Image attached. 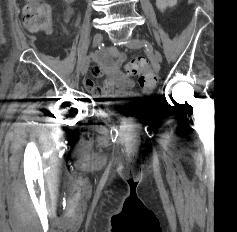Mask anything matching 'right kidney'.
I'll return each mask as SVG.
<instances>
[{"instance_id":"right-kidney-1","label":"right kidney","mask_w":237,"mask_h":232,"mask_svg":"<svg viewBox=\"0 0 237 232\" xmlns=\"http://www.w3.org/2000/svg\"><path fill=\"white\" fill-rule=\"evenodd\" d=\"M66 3H72L74 2L75 0H64Z\"/></svg>"}]
</instances>
